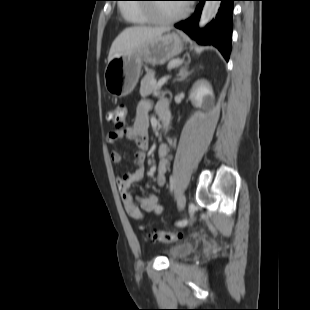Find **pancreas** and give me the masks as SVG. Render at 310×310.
Returning <instances> with one entry per match:
<instances>
[{
	"label": "pancreas",
	"instance_id": "pancreas-1",
	"mask_svg": "<svg viewBox=\"0 0 310 310\" xmlns=\"http://www.w3.org/2000/svg\"><path fill=\"white\" fill-rule=\"evenodd\" d=\"M155 72L149 71L141 80L140 94L142 96L150 95L151 93H155L159 91V87H157V83L155 80Z\"/></svg>",
	"mask_w": 310,
	"mask_h": 310
}]
</instances>
